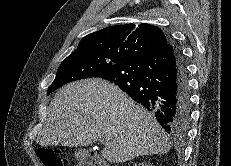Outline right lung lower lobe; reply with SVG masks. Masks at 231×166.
<instances>
[{
  "label": "right lung lower lobe",
  "mask_w": 231,
  "mask_h": 166,
  "mask_svg": "<svg viewBox=\"0 0 231 166\" xmlns=\"http://www.w3.org/2000/svg\"><path fill=\"white\" fill-rule=\"evenodd\" d=\"M96 77L114 83L153 112L167 133L175 137L186 133L190 122V90L184 59L172 43L113 65Z\"/></svg>",
  "instance_id": "obj_1"
}]
</instances>
